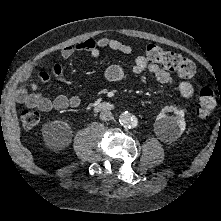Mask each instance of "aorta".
Wrapping results in <instances>:
<instances>
[{"mask_svg":"<svg viewBox=\"0 0 221 221\" xmlns=\"http://www.w3.org/2000/svg\"><path fill=\"white\" fill-rule=\"evenodd\" d=\"M119 122L123 127L131 128L137 125V119L129 112H122L119 116Z\"/></svg>","mask_w":221,"mask_h":221,"instance_id":"762f6f07","label":"aorta"}]
</instances>
